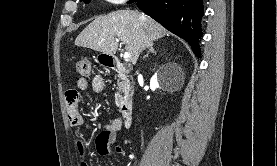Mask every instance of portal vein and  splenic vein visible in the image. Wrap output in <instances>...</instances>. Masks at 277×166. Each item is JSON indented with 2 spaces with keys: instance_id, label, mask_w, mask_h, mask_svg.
<instances>
[{
  "instance_id": "obj_1",
  "label": "portal vein and splenic vein",
  "mask_w": 277,
  "mask_h": 166,
  "mask_svg": "<svg viewBox=\"0 0 277 166\" xmlns=\"http://www.w3.org/2000/svg\"><path fill=\"white\" fill-rule=\"evenodd\" d=\"M116 42H119V39H116ZM124 60L126 62L130 61L131 60V54L129 52H125L124 53Z\"/></svg>"
}]
</instances>
